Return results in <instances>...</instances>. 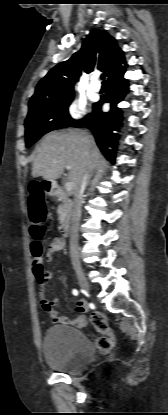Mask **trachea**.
<instances>
[{
	"mask_svg": "<svg viewBox=\"0 0 168 415\" xmlns=\"http://www.w3.org/2000/svg\"><path fill=\"white\" fill-rule=\"evenodd\" d=\"M101 79L103 80V82H106L105 81V76L103 74L101 75Z\"/></svg>",
	"mask_w": 168,
	"mask_h": 415,
	"instance_id": "obj_1",
	"label": "trachea"
}]
</instances>
